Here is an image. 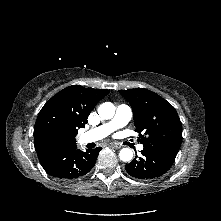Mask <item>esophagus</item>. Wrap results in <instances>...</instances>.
<instances>
[{
    "mask_svg": "<svg viewBox=\"0 0 221 221\" xmlns=\"http://www.w3.org/2000/svg\"><path fill=\"white\" fill-rule=\"evenodd\" d=\"M109 146L111 148H114V149H120L121 148V145L117 144V143H110Z\"/></svg>",
    "mask_w": 221,
    "mask_h": 221,
    "instance_id": "1",
    "label": "esophagus"
}]
</instances>
